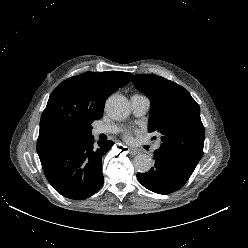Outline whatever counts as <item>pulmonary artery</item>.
<instances>
[{
  "label": "pulmonary artery",
  "instance_id": "pulmonary-artery-1",
  "mask_svg": "<svg viewBox=\"0 0 248 248\" xmlns=\"http://www.w3.org/2000/svg\"><path fill=\"white\" fill-rule=\"evenodd\" d=\"M131 101V107H132V111L133 114L136 117H142L144 116L149 107H150V101L146 96L143 95H138L135 94L131 97L130 99ZM119 131V128L116 125L113 124H103V125H99L96 126L93 130L92 133L94 136H99L101 134H112V133H116ZM155 149L159 148V144H156Z\"/></svg>",
  "mask_w": 248,
  "mask_h": 248
}]
</instances>
